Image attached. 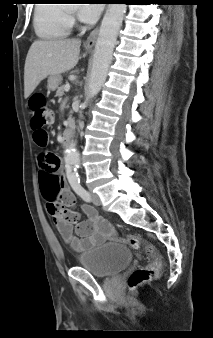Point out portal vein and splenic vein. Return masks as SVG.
<instances>
[{"instance_id": "18ae733b", "label": "portal vein and splenic vein", "mask_w": 213, "mask_h": 338, "mask_svg": "<svg viewBox=\"0 0 213 338\" xmlns=\"http://www.w3.org/2000/svg\"><path fill=\"white\" fill-rule=\"evenodd\" d=\"M64 89H65V91H69L70 85L69 84L65 85Z\"/></svg>"}]
</instances>
